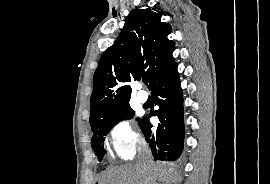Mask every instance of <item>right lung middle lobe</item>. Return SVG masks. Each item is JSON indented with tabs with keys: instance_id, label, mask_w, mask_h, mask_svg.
Instances as JSON below:
<instances>
[{
	"instance_id": "obj_1",
	"label": "right lung middle lobe",
	"mask_w": 270,
	"mask_h": 184,
	"mask_svg": "<svg viewBox=\"0 0 270 184\" xmlns=\"http://www.w3.org/2000/svg\"><path fill=\"white\" fill-rule=\"evenodd\" d=\"M134 111L130 108V106L123 107L120 111L114 114L112 117L98 121L91 125L93 131V137L91 140L92 148L98 157L99 161H102L106 150L103 147V143L105 140V136L109 133V131L120 121L124 119H130ZM140 123V119H137Z\"/></svg>"
}]
</instances>
